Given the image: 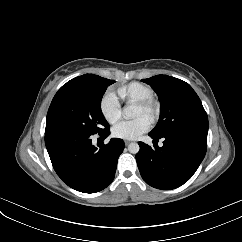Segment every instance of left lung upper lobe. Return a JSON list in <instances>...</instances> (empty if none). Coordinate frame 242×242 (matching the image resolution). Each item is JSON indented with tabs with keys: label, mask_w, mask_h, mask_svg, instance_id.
<instances>
[{
	"label": "left lung upper lobe",
	"mask_w": 242,
	"mask_h": 242,
	"mask_svg": "<svg viewBox=\"0 0 242 242\" xmlns=\"http://www.w3.org/2000/svg\"><path fill=\"white\" fill-rule=\"evenodd\" d=\"M142 81L153 88L161 103L160 119L150 134L161 138L185 130L208 131L207 114L188 83L167 75Z\"/></svg>",
	"instance_id": "5c2ea615"
}]
</instances>
